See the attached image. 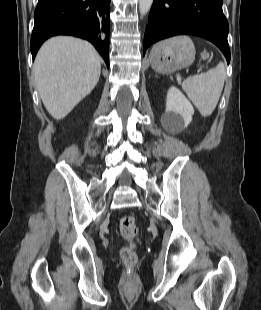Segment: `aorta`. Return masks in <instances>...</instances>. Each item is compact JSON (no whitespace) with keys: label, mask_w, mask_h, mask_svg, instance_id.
I'll return each instance as SVG.
<instances>
[{"label":"aorta","mask_w":261,"mask_h":310,"mask_svg":"<svg viewBox=\"0 0 261 310\" xmlns=\"http://www.w3.org/2000/svg\"><path fill=\"white\" fill-rule=\"evenodd\" d=\"M152 3L153 0H139V12L141 16H144L149 12Z\"/></svg>","instance_id":"aorta-1"}]
</instances>
